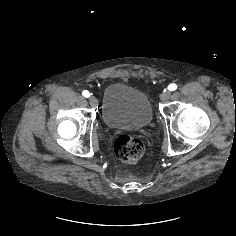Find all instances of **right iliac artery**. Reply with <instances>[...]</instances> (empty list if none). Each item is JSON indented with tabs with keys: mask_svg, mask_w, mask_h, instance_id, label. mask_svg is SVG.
I'll return each instance as SVG.
<instances>
[{
	"mask_svg": "<svg viewBox=\"0 0 236 236\" xmlns=\"http://www.w3.org/2000/svg\"><path fill=\"white\" fill-rule=\"evenodd\" d=\"M82 95L85 97V98H88L90 96V93L87 91V90H84L82 92Z\"/></svg>",
	"mask_w": 236,
	"mask_h": 236,
	"instance_id": "obj_1",
	"label": "right iliac artery"
}]
</instances>
